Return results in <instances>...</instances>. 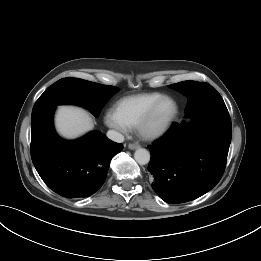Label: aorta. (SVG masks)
<instances>
[{
	"label": "aorta",
	"mask_w": 261,
	"mask_h": 261,
	"mask_svg": "<svg viewBox=\"0 0 261 261\" xmlns=\"http://www.w3.org/2000/svg\"><path fill=\"white\" fill-rule=\"evenodd\" d=\"M134 159L140 165H146L150 161V152L144 148H139L134 153Z\"/></svg>",
	"instance_id": "1"
}]
</instances>
